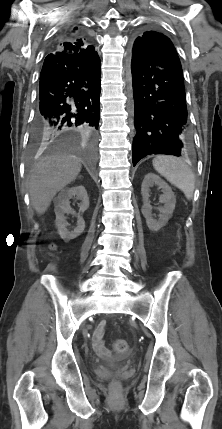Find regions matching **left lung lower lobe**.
I'll return each mask as SVG.
<instances>
[{
  "label": "left lung lower lobe",
  "mask_w": 222,
  "mask_h": 429,
  "mask_svg": "<svg viewBox=\"0 0 222 429\" xmlns=\"http://www.w3.org/2000/svg\"><path fill=\"white\" fill-rule=\"evenodd\" d=\"M145 40L134 41L130 57L136 131L133 166L151 154L184 155L191 138L177 52L165 35Z\"/></svg>",
  "instance_id": "1"
}]
</instances>
